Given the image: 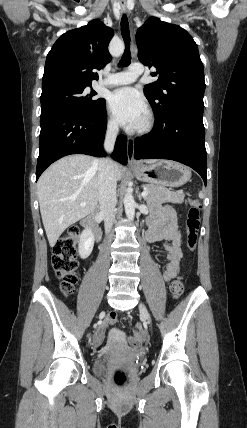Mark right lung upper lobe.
Here are the masks:
<instances>
[{"mask_svg": "<svg viewBox=\"0 0 247 428\" xmlns=\"http://www.w3.org/2000/svg\"><path fill=\"white\" fill-rule=\"evenodd\" d=\"M113 30L95 19L86 26L64 33L47 55L42 92L62 86H91L112 58L108 45Z\"/></svg>", "mask_w": 247, "mask_h": 428, "instance_id": "right-lung-upper-lobe-1", "label": "right lung upper lobe"}]
</instances>
